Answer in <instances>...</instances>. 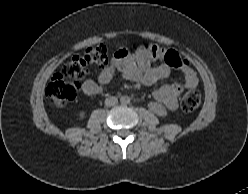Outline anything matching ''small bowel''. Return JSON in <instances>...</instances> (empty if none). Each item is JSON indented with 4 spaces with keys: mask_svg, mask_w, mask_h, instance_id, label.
<instances>
[{
    "mask_svg": "<svg viewBox=\"0 0 248 194\" xmlns=\"http://www.w3.org/2000/svg\"><path fill=\"white\" fill-rule=\"evenodd\" d=\"M164 54L165 50L159 47H152L149 51L142 49L137 52L120 48L114 54L111 62L102 69L97 81L87 79L82 85V90L87 95L101 93L116 72L120 73L126 80L147 86L153 85L170 75L172 66L165 61L158 66H152V61L163 59ZM175 68H179L183 72V83L165 84L153 93L155 101L169 110L177 109L178 99L185 88H194L199 82L198 76L190 63L179 55L178 64Z\"/></svg>",
    "mask_w": 248,
    "mask_h": 194,
    "instance_id": "c3829d8e",
    "label": "small bowel"
}]
</instances>
